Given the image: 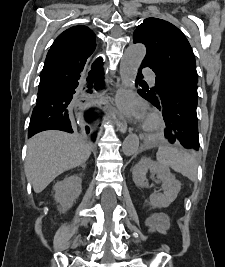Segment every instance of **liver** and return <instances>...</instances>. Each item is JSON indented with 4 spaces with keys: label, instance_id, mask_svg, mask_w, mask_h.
Here are the masks:
<instances>
[{
    "label": "liver",
    "instance_id": "1",
    "mask_svg": "<svg viewBox=\"0 0 225 267\" xmlns=\"http://www.w3.org/2000/svg\"><path fill=\"white\" fill-rule=\"evenodd\" d=\"M90 155V145L76 133L41 132L28 142L25 174L34 192L40 193L63 172L83 165Z\"/></svg>",
    "mask_w": 225,
    "mask_h": 267
}]
</instances>
